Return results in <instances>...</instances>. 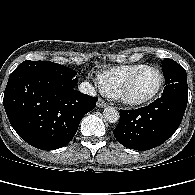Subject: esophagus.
I'll list each match as a JSON object with an SVG mask.
<instances>
[{
    "instance_id": "1",
    "label": "esophagus",
    "mask_w": 195,
    "mask_h": 195,
    "mask_svg": "<svg viewBox=\"0 0 195 195\" xmlns=\"http://www.w3.org/2000/svg\"><path fill=\"white\" fill-rule=\"evenodd\" d=\"M107 105H108V103L101 98L97 102V107H99V108L106 107Z\"/></svg>"
}]
</instances>
